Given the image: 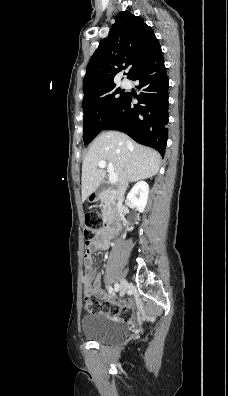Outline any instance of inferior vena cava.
I'll use <instances>...</instances> for the list:
<instances>
[{"instance_id":"1","label":"inferior vena cava","mask_w":228,"mask_h":396,"mask_svg":"<svg viewBox=\"0 0 228 396\" xmlns=\"http://www.w3.org/2000/svg\"><path fill=\"white\" fill-rule=\"evenodd\" d=\"M127 186H128V180H127L126 175H125V176H124L122 179H120V181H119V186H118V189H117L118 198H122V197H123L124 192L126 191Z\"/></svg>"}]
</instances>
